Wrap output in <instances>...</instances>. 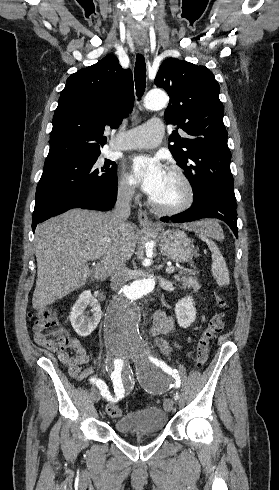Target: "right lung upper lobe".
I'll use <instances>...</instances> for the list:
<instances>
[{
	"instance_id": "obj_1",
	"label": "right lung upper lobe",
	"mask_w": 279,
	"mask_h": 490,
	"mask_svg": "<svg viewBox=\"0 0 279 490\" xmlns=\"http://www.w3.org/2000/svg\"><path fill=\"white\" fill-rule=\"evenodd\" d=\"M133 104L132 72L113 55L72 74L55 110L45 162L100 151L106 144L104 127L118 128Z\"/></svg>"
}]
</instances>
